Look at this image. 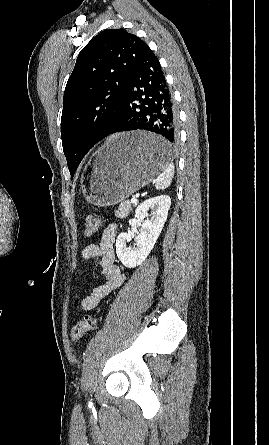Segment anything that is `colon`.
I'll list each match as a JSON object with an SVG mask.
<instances>
[{
  "instance_id": "5ec220e1",
  "label": "colon",
  "mask_w": 269,
  "mask_h": 445,
  "mask_svg": "<svg viewBox=\"0 0 269 445\" xmlns=\"http://www.w3.org/2000/svg\"><path fill=\"white\" fill-rule=\"evenodd\" d=\"M100 229V219L96 215H89L85 220V235L92 236ZM98 319L94 316H85L81 321L75 324L71 330V339L77 343L81 337L97 328Z\"/></svg>"
}]
</instances>
